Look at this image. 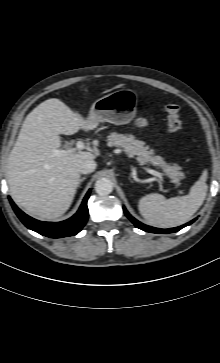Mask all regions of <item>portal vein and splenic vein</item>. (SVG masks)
<instances>
[{
	"label": "portal vein and splenic vein",
	"mask_w": 220,
	"mask_h": 363,
	"mask_svg": "<svg viewBox=\"0 0 220 363\" xmlns=\"http://www.w3.org/2000/svg\"><path fill=\"white\" fill-rule=\"evenodd\" d=\"M85 148L86 147H85L84 143L82 141H78L76 143V148H70V149H67V150L53 149L52 152H53V155L58 156V155H62L64 153H72V152H75L76 150H82V149H85ZM145 170L148 173H150V174H152L154 176H157V177H164V176H166L165 174L160 173L158 171H155L153 169L145 168ZM179 192H181V191H179Z\"/></svg>",
	"instance_id": "obj_1"
}]
</instances>
